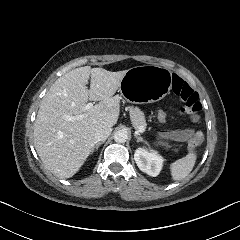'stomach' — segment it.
<instances>
[{"label":"stomach","mask_w":240,"mask_h":240,"mask_svg":"<svg viewBox=\"0 0 240 240\" xmlns=\"http://www.w3.org/2000/svg\"><path fill=\"white\" fill-rule=\"evenodd\" d=\"M171 88V73L154 65L128 69L119 86L120 94L130 103H153L163 99Z\"/></svg>","instance_id":"obj_1"}]
</instances>
